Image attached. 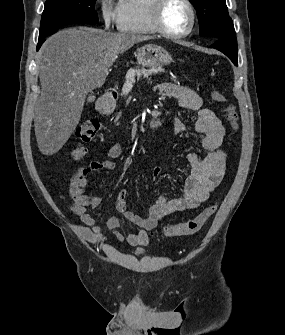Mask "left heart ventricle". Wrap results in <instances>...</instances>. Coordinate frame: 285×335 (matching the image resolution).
Instances as JSON below:
<instances>
[{
    "mask_svg": "<svg viewBox=\"0 0 285 335\" xmlns=\"http://www.w3.org/2000/svg\"><path fill=\"white\" fill-rule=\"evenodd\" d=\"M189 20V11L180 2L171 3L165 11V22L171 30L177 31L185 28Z\"/></svg>",
    "mask_w": 285,
    "mask_h": 335,
    "instance_id": "obj_1",
    "label": "left heart ventricle"
}]
</instances>
